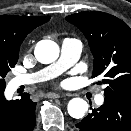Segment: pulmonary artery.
Segmentation results:
<instances>
[{
  "label": "pulmonary artery",
  "instance_id": "1",
  "mask_svg": "<svg viewBox=\"0 0 131 131\" xmlns=\"http://www.w3.org/2000/svg\"><path fill=\"white\" fill-rule=\"evenodd\" d=\"M81 50L82 44L78 39L65 38L61 44L60 58L56 63L39 72L17 76L13 79V85L18 87L20 85L32 84L59 75L77 62ZM95 100L97 104H102L104 101L103 94L96 95Z\"/></svg>",
  "mask_w": 131,
  "mask_h": 131
}]
</instances>
